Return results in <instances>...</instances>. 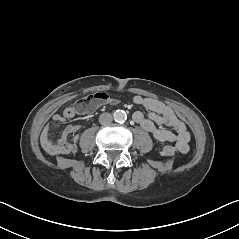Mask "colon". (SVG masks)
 <instances>
[{
    "label": "colon",
    "instance_id": "colon-1",
    "mask_svg": "<svg viewBox=\"0 0 239 239\" xmlns=\"http://www.w3.org/2000/svg\"><path fill=\"white\" fill-rule=\"evenodd\" d=\"M111 101L112 100L107 93L97 92L81 99L76 106L72 107L71 112L75 113L81 109L97 108L101 105L108 104ZM162 151L166 156H173L175 154V148L172 146H165Z\"/></svg>",
    "mask_w": 239,
    "mask_h": 239
}]
</instances>
